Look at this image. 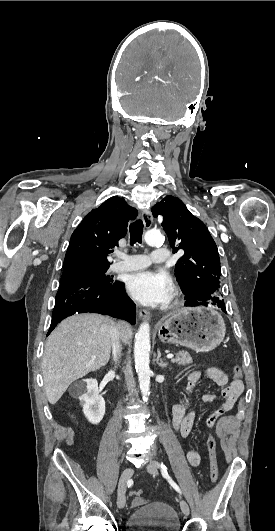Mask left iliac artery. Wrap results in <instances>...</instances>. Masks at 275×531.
<instances>
[{
  "label": "left iliac artery",
  "mask_w": 275,
  "mask_h": 531,
  "mask_svg": "<svg viewBox=\"0 0 275 531\" xmlns=\"http://www.w3.org/2000/svg\"><path fill=\"white\" fill-rule=\"evenodd\" d=\"M161 473H162V476L164 478H166L168 480V482L170 483V485L177 491L181 494V490L179 488V486L172 480V478L168 475V472H167V467L163 464V462H161Z\"/></svg>",
  "instance_id": "left-iliac-artery-1"
}]
</instances>
